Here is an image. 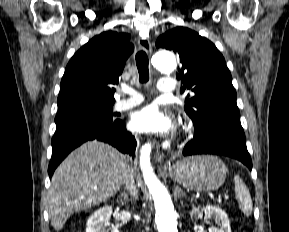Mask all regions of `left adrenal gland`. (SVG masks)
<instances>
[{
    "mask_svg": "<svg viewBox=\"0 0 289 232\" xmlns=\"http://www.w3.org/2000/svg\"><path fill=\"white\" fill-rule=\"evenodd\" d=\"M173 195L175 198H179L181 195L185 196V193L178 186H176L173 191Z\"/></svg>",
    "mask_w": 289,
    "mask_h": 232,
    "instance_id": "left-adrenal-gland-1",
    "label": "left adrenal gland"
}]
</instances>
